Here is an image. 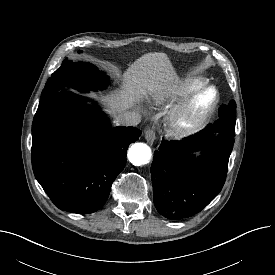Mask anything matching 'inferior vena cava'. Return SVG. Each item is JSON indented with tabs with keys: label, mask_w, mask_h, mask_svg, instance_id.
I'll return each instance as SVG.
<instances>
[{
	"label": "inferior vena cava",
	"mask_w": 275,
	"mask_h": 275,
	"mask_svg": "<svg viewBox=\"0 0 275 275\" xmlns=\"http://www.w3.org/2000/svg\"><path fill=\"white\" fill-rule=\"evenodd\" d=\"M141 116L135 112H124L117 118V124L123 126H136L140 123Z\"/></svg>",
	"instance_id": "1"
}]
</instances>
